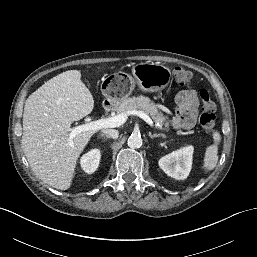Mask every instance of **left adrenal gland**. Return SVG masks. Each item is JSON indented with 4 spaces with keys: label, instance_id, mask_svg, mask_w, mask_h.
<instances>
[{
    "label": "left adrenal gland",
    "instance_id": "obj_1",
    "mask_svg": "<svg viewBox=\"0 0 257 257\" xmlns=\"http://www.w3.org/2000/svg\"><path fill=\"white\" fill-rule=\"evenodd\" d=\"M149 137H150L151 139L156 138V137H163V138H166V136H165L164 134H151V133H149Z\"/></svg>",
    "mask_w": 257,
    "mask_h": 257
}]
</instances>
